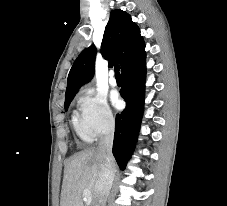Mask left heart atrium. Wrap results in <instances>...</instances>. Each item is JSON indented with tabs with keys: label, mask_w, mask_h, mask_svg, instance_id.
Masks as SVG:
<instances>
[{
	"label": "left heart atrium",
	"mask_w": 227,
	"mask_h": 206,
	"mask_svg": "<svg viewBox=\"0 0 227 206\" xmlns=\"http://www.w3.org/2000/svg\"><path fill=\"white\" fill-rule=\"evenodd\" d=\"M112 102H113V104H114L116 107H118V106L120 105V100H119V98H118L116 95H114V96L112 97Z\"/></svg>",
	"instance_id": "39dd6f15"
}]
</instances>
